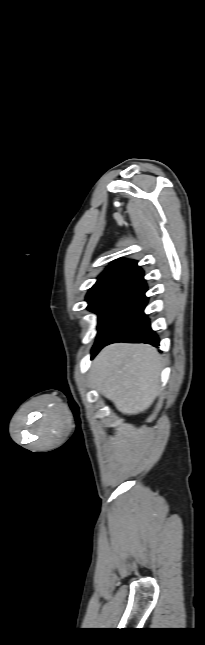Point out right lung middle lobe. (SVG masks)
I'll use <instances>...</instances> for the list:
<instances>
[{
	"mask_svg": "<svg viewBox=\"0 0 205 645\" xmlns=\"http://www.w3.org/2000/svg\"><path fill=\"white\" fill-rule=\"evenodd\" d=\"M145 292L119 291L88 305L90 311L98 314V336L92 351L98 350L115 332L144 309L148 302Z\"/></svg>",
	"mask_w": 205,
	"mask_h": 645,
	"instance_id": "obj_1",
	"label": "right lung middle lobe"
}]
</instances>
